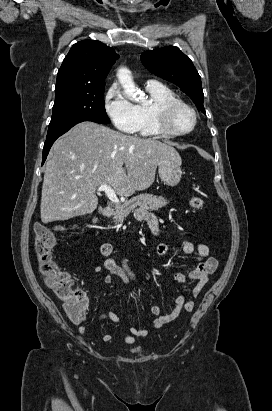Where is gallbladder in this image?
<instances>
[{
	"label": "gallbladder",
	"mask_w": 272,
	"mask_h": 411,
	"mask_svg": "<svg viewBox=\"0 0 272 411\" xmlns=\"http://www.w3.org/2000/svg\"><path fill=\"white\" fill-rule=\"evenodd\" d=\"M99 211L101 212V211H102V208H99Z\"/></svg>",
	"instance_id": "obj_1"
}]
</instances>
